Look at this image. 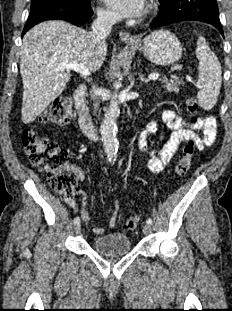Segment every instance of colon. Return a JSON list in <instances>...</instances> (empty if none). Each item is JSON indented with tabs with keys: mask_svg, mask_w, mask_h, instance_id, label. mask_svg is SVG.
<instances>
[{
	"mask_svg": "<svg viewBox=\"0 0 232 311\" xmlns=\"http://www.w3.org/2000/svg\"><path fill=\"white\" fill-rule=\"evenodd\" d=\"M199 103L195 96L189 95L186 99V111L191 120L197 119L196 114ZM45 122L57 125H67L72 120V103L69 96H59L46 109L43 115ZM22 141L31 162L50 180L51 186L59 193L67 197L75 194L76 175L67 166L68 152L61 148L55 141L47 138H40L32 127L22 131ZM196 142L193 139L187 141L182 154L175 167L178 176L188 173L194 154ZM138 217H129L124 221V227L134 230L138 226Z\"/></svg>",
	"mask_w": 232,
	"mask_h": 311,
	"instance_id": "obj_1",
	"label": "colon"
}]
</instances>
